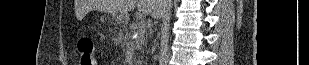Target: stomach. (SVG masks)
<instances>
[{
  "instance_id": "1",
  "label": "stomach",
  "mask_w": 309,
  "mask_h": 65,
  "mask_svg": "<svg viewBox=\"0 0 309 65\" xmlns=\"http://www.w3.org/2000/svg\"><path fill=\"white\" fill-rule=\"evenodd\" d=\"M113 18L119 24H126L128 22L127 14L115 13V14H113Z\"/></svg>"
}]
</instances>
